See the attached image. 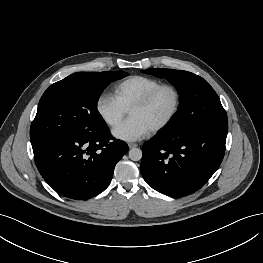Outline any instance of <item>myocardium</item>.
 <instances>
[{
    "label": "myocardium",
    "mask_w": 263,
    "mask_h": 263,
    "mask_svg": "<svg viewBox=\"0 0 263 263\" xmlns=\"http://www.w3.org/2000/svg\"><path fill=\"white\" fill-rule=\"evenodd\" d=\"M163 89H169L173 92L174 98H175L174 106L171 112L169 113V115L163 121H161L159 124H157L155 127L151 129V133H157L163 130L164 128H166L178 114L180 107H181V102H182L181 92L178 89V87L171 83H161L155 88H153L152 90H150L140 100L134 103L129 109V112H130L131 110L142 109L148 106L151 103V101L155 98V96Z\"/></svg>",
    "instance_id": "1"
}]
</instances>
